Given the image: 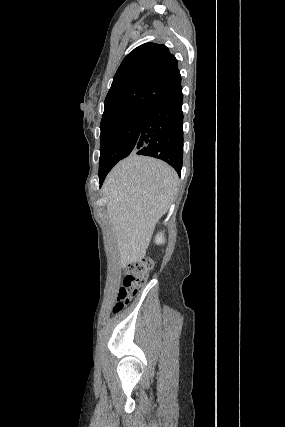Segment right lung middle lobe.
<instances>
[{"instance_id":"right-lung-middle-lobe-1","label":"right lung middle lobe","mask_w":285,"mask_h":427,"mask_svg":"<svg viewBox=\"0 0 285 427\" xmlns=\"http://www.w3.org/2000/svg\"><path fill=\"white\" fill-rule=\"evenodd\" d=\"M145 115L146 109L139 110L100 125L99 173L110 171L118 161L134 151Z\"/></svg>"}]
</instances>
